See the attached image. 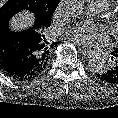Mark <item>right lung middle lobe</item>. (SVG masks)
<instances>
[{"instance_id": "1", "label": "right lung middle lobe", "mask_w": 118, "mask_h": 118, "mask_svg": "<svg viewBox=\"0 0 118 118\" xmlns=\"http://www.w3.org/2000/svg\"><path fill=\"white\" fill-rule=\"evenodd\" d=\"M60 0H8L0 8V25L8 24L9 19L21 10H29L35 15V27L50 24L53 12Z\"/></svg>"}]
</instances>
